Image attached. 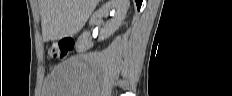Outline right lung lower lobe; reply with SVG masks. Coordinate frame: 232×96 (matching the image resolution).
<instances>
[{
  "instance_id": "right-lung-lower-lobe-1",
  "label": "right lung lower lobe",
  "mask_w": 232,
  "mask_h": 96,
  "mask_svg": "<svg viewBox=\"0 0 232 96\" xmlns=\"http://www.w3.org/2000/svg\"><path fill=\"white\" fill-rule=\"evenodd\" d=\"M142 1H143V0H135V2H136V4H137L138 10H139L140 7H141Z\"/></svg>"
}]
</instances>
